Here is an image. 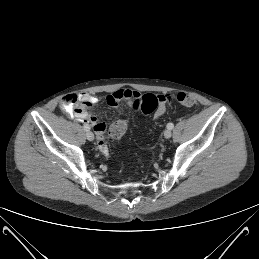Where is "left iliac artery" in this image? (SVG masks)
Wrapping results in <instances>:
<instances>
[{
    "mask_svg": "<svg viewBox=\"0 0 259 259\" xmlns=\"http://www.w3.org/2000/svg\"><path fill=\"white\" fill-rule=\"evenodd\" d=\"M167 128L172 130L174 128V124L173 123H168L167 124Z\"/></svg>",
    "mask_w": 259,
    "mask_h": 259,
    "instance_id": "44dca946",
    "label": "left iliac artery"
}]
</instances>
